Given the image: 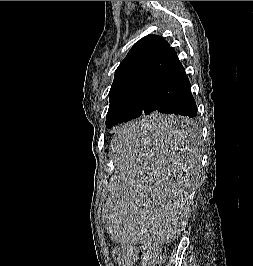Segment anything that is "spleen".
I'll list each match as a JSON object with an SVG mask.
<instances>
[{
  "mask_svg": "<svg viewBox=\"0 0 253 266\" xmlns=\"http://www.w3.org/2000/svg\"><path fill=\"white\" fill-rule=\"evenodd\" d=\"M192 123L175 111H150L113 135L111 156L117 190L103 211L106 242L118 248H166L183 235L189 198L198 180Z\"/></svg>",
  "mask_w": 253,
  "mask_h": 266,
  "instance_id": "3e777b00",
  "label": "spleen"
}]
</instances>
